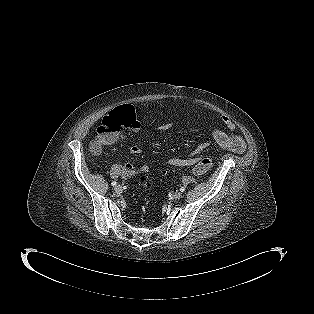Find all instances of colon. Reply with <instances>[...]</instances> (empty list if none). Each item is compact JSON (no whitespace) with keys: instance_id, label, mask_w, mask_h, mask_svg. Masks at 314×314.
<instances>
[{"instance_id":"5ec220e1","label":"colon","mask_w":314,"mask_h":314,"mask_svg":"<svg viewBox=\"0 0 314 314\" xmlns=\"http://www.w3.org/2000/svg\"><path fill=\"white\" fill-rule=\"evenodd\" d=\"M139 127V123L136 118L135 110L130 105H122L102 120L101 125L97 128L95 139L92 143V150L98 152L104 144L112 141V139L120 132ZM214 164L213 156H205L199 160L194 167L196 174H203L209 170ZM145 173V172H141ZM142 184L149 188L150 181L147 177L141 178Z\"/></svg>"}]
</instances>
